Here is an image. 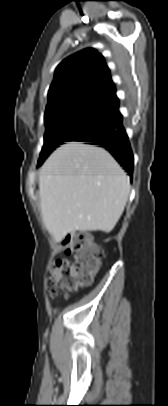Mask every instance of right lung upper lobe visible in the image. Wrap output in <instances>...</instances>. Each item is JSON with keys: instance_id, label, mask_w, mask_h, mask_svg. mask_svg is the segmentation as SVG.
<instances>
[{"instance_id": "right-lung-upper-lobe-1", "label": "right lung upper lobe", "mask_w": 168, "mask_h": 406, "mask_svg": "<svg viewBox=\"0 0 168 406\" xmlns=\"http://www.w3.org/2000/svg\"><path fill=\"white\" fill-rule=\"evenodd\" d=\"M115 92L103 56L92 48L84 49L63 60L56 68L45 115L80 104L111 106L117 100Z\"/></svg>"}]
</instances>
